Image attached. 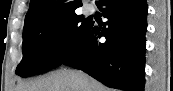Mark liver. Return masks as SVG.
Returning a JSON list of instances; mask_svg holds the SVG:
<instances>
[{"mask_svg":"<svg viewBox=\"0 0 173 91\" xmlns=\"http://www.w3.org/2000/svg\"><path fill=\"white\" fill-rule=\"evenodd\" d=\"M15 91H110L82 71L62 69L30 82H21Z\"/></svg>","mask_w":173,"mask_h":91,"instance_id":"6515ba94","label":"liver"}]
</instances>
